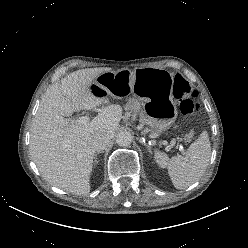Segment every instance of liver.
<instances>
[{"mask_svg": "<svg viewBox=\"0 0 248 248\" xmlns=\"http://www.w3.org/2000/svg\"><path fill=\"white\" fill-rule=\"evenodd\" d=\"M111 68H87L71 73L50 86L42 97L30 129V155L42 177L64 191L87 195L95 150L91 138L97 133L113 137L122 118V108L93 94L91 85ZM107 104L85 124L69 120L77 110Z\"/></svg>", "mask_w": 248, "mask_h": 248, "instance_id": "1", "label": "liver"}]
</instances>
